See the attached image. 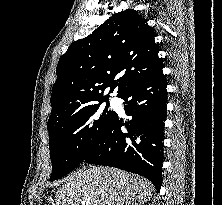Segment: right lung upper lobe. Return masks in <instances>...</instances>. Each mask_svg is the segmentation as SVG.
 <instances>
[{"mask_svg":"<svg viewBox=\"0 0 222 205\" xmlns=\"http://www.w3.org/2000/svg\"><path fill=\"white\" fill-rule=\"evenodd\" d=\"M147 20L133 9L118 12L84 39L74 41L58 62L48 124L98 102L108 101L163 68Z\"/></svg>","mask_w":222,"mask_h":205,"instance_id":"right-lung-upper-lobe-1","label":"right lung upper lobe"}]
</instances>
